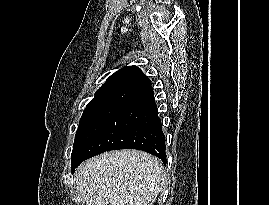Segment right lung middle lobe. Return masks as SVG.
<instances>
[{
	"label": "right lung middle lobe",
	"mask_w": 269,
	"mask_h": 205,
	"mask_svg": "<svg viewBox=\"0 0 269 205\" xmlns=\"http://www.w3.org/2000/svg\"><path fill=\"white\" fill-rule=\"evenodd\" d=\"M125 109L123 106L116 105H99L85 108L75 136L71 154V170L78 159L80 151L112 118Z\"/></svg>",
	"instance_id": "dd1d6c3e"
}]
</instances>
